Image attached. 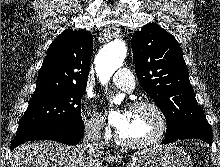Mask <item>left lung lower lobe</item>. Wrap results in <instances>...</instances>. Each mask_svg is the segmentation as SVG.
Here are the masks:
<instances>
[{
    "label": "left lung lower lobe",
    "mask_w": 220,
    "mask_h": 167,
    "mask_svg": "<svg viewBox=\"0 0 220 167\" xmlns=\"http://www.w3.org/2000/svg\"><path fill=\"white\" fill-rule=\"evenodd\" d=\"M189 138L201 139L207 142L211 146L212 145V131H211L210 126L193 128L178 137L165 138L162 144H168L179 139H189Z\"/></svg>",
    "instance_id": "0a47b994"
}]
</instances>
